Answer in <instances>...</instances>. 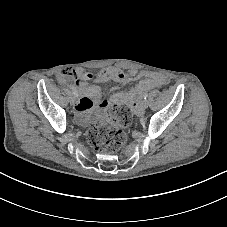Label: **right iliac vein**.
<instances>
[{"mask_svg":"<svg viewBox=\"0 0 227 227\" xmlns=\"http://www.w3.org/2000/svg\"><path fill=\"white\" fill-rule=\"evenodd\" d=\"M70 103H71L72 105H75V104L77 103V101H76L74 95L70 98Z\"/></svg>","mask_w":227,"mask_h":227,"instance_id":"63e3f726","label":"right iliac vein"}]
</instances>
